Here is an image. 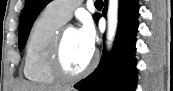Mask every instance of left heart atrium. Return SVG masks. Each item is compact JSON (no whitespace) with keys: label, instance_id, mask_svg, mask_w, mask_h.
<instances>
[{"label":"left heart atrium","instance_id":"obj_1","mask_svg":"<svg viewBox=\"0 0 173 91\" xmlns=\"http://www.w3.org/2000/svg\"><path fill=\"white\" fill-rule=\"evenodd\" d=\"M77 35L81 44L90 51H93L96 42V32L93 23L89 19H84L81 27L77 30Z\"/></svg>","mask_w":173,"mask_h":91}]
</instances>
